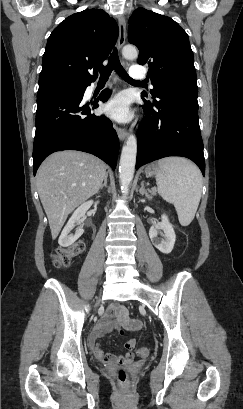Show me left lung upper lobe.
Here are the masks:
<instances>
[{"label": "left lung upper lobe", "mask_w": 243, "mask_h": 409, "mask_svg": "<svg viewBox=\"0 0 243 409\" xmlns=\"http://www.w3.org/2000/svg\"><path fill=\"white\" fill-rule=\"evenodd\" d=\"M128 40L139 49L138 63L149 66L152 99L172 82L196 81L188 35L170 17L136 9L129 19ZM142 95L147 97L146 92Z\"/></svg>", "instance_id": "obj_1"}]
</instances>
